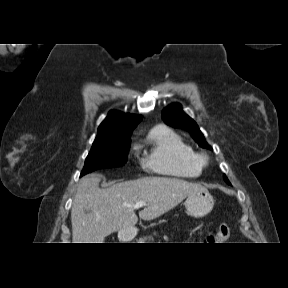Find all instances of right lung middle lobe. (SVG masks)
Returning <instances> with one entry per match:
<instances>
[{
    "instance_id": "obj_1",
    "label": "right lung middle lobe",
    "mask_w": 288,
    "mask_h": 288,
    "mask_svg": "<svg viewBox=\"0 0 288 288\" xmlns=\"http://www.w3.org/2000/svg\"><path fill=\"white\" fill-rule=\"evenodd\" d=\"M130 147L128 135H119L94 141L81 175L97 169L120 167L127 161Z\"/></svg>"
}]
</instances>
